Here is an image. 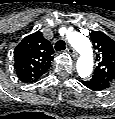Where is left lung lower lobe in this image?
Masks as SVG:
<instances>
[{
    "mask_svg": "<svg viewBox=\"0 0 115 119\" xmlns=\"http://www.w3.org/2000/svg\"><path fill=\"white\" fill-rule=\"evenodd\" d=\"M82 83L89 89L101 91L107 89L111 82L101 76L94 74L92 78L87 81H83Z\"/></svg>",
    "mask_w": 115,
    "mask_h": 119,
    "instance_id": "obj_1",
    "label": "left lung lower lobe"
}]
</instances>
